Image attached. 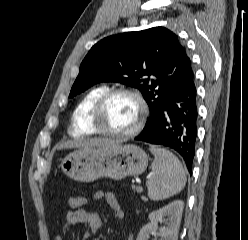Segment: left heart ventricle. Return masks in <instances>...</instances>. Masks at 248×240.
Returning <instances> with one entry per match:
<instances>
[{"instance_id":"b2bd125f","label":"left heart ventricle","mask_w":248,"mask_h":240,"mask_svg":"<svg viewBox=\"0 0 248 240\" xmlns=\"http://www.w3.org/2000/svg\"><path fill=\"white\" fill-rule=\"evenodd\" d=\"M139 117L136 100L128 95H117L106 105L102 115V127L115 132L131 130Z\"/></svg>"}]
</instances>
